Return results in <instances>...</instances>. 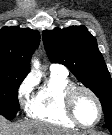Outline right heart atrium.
Listing matches in <instances>:
<instances>
[{
	"label": "right heart atrium",
	"mask_w": 112,
	"mask_h": 135,
	"mask_svg": "<svg viewBox=\"0 0 112 135\" xmlns=\"http://www.w3.org/2000/svg\"><path fill=\"white\" fill-rule=\"evenodd\" d=\"M35 86V81L32 77H26L19 85L17 89V97L23 108H27L28 103L31 99L33 90Z\"/></svg>",
	"instance_id": "right-heart-atrium-1"
}]
</instances>
